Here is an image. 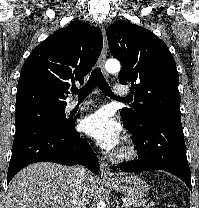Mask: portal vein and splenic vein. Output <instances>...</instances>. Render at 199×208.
Masks as SVG:
<instances>
[{
  "label": "portal vein and splenic vein",
  "instance_id": "obj_1",
  "mask_svg": "<svg viewBox=\"0 0 199 208\" xmlns=\"http://www.w3.org/2000/svg\"><path fill=\"white\" fill-rule=\"evenodd\" d=\"M122 207L127 208V207H128V203H124V204L122 205Z\"/></svg>",
  "mask_w": 199,
  "mask_h": 208
}]
</instances>
